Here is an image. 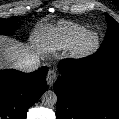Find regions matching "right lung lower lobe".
I'll return each instance as SVG.
<instances>
[{
    "mask_svg": "<svg viewBox=\"0 0 119 119\" xmlns=\"http://www.w3.org/2000/svg\"><path fill=\"white\" fill-rule=\"evenodd\" d=\"M47 67L31 73L0 71V119H26L27 110L46 91Z\"/></svg>",
    "mask_w": 119,
    "mask_h": 119,
    "instance_id": "98d812e1",
    "label": "right lung lower lobe"
}]
</instances>
